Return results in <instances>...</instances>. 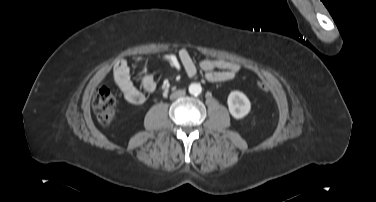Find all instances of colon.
Listing matches in <instances>:
<instances>
[{"label": "colon", "instance_id": "1", "mask_svg": "<svg viewBox=\"0 0 376 202\" xmlns=\"http://www.w3.org/2000/svg\"><path fill=\"white\" fill-rule=\"evenodd\" d=\"M257 86L261 91L268 90V84L263 79L258 80ZM92 107L98 120L104 125H110L116 117V99L112 91L106 87H100L93 96Z\"/></svg>", "mask_w": 376, "mask_h": 202}]
</instances>
